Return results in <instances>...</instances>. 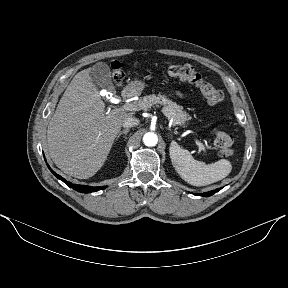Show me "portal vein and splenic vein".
<instances>
[{
  "label": "portal vein and splenic vein",
  "mask_w": 288,
  "mask_h": 288,
  "mask_svg": "<svg viewBox=\"0 0 288 288\" xmlns=\"http://www.w3.org/2000/svg\"><path fill=\"white\" fill-rule=\"evenodd\" d=\"M138 110H139V107L135 103H128L119 108L113 109L111 113L115 115V114H120L126 111H138ZM164 114L167 116V112L165 110H164ZM196 144L198 145L199 152L201 150L204 151L203 146L200 142L196 141Z\"/></svg>",
  "instance_id": "obj_1"
}]
</instances>
